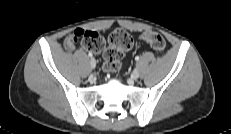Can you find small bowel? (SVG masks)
<instances>
[{"label":"small bowel","instance_id":"small-bowel-1","mask_svg":"<svg viewBox=\"0 0 231 134\" xmlns=\"http://www.w3.org/2000/svg\"><path fill=\"white\" fill-rule=\"evenodd\" d=\"M76 42L77 41L73 39V34H70L66 37L64 41V46L68 51H73L75 49Z\"/></svg>","mask_w":231,"mask_h":134}]
</instances>
